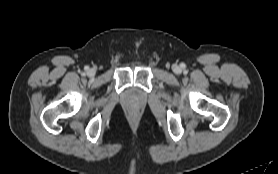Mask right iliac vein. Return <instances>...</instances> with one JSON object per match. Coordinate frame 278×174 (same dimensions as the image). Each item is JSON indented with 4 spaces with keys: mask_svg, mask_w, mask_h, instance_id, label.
<instances>
[{
    "mask_svg": "<svg viewBox=\"0 0 278 174\" xmlns=\"http://www.w3.org/2000/svg\"><path fill=\"white\" fill-rule=\"evenodd\" d=\"M89 77H93L96 74V70L95 69H89L87 72Z\"/></svg>",
    "mask_w": 278,
    "mask_h": 174,
    "instance_id": "63e3f726",
    "label": "right iliac vein"
}]
</instances>
